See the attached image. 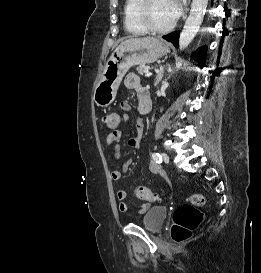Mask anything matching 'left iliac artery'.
Here are the masks:
<instances>
[{
  "mask_svg": "<svg viewBox=\"0 0 261 273\" xmlns=\"http://www.w3.org/2000/svg\"><path fill=\"white\" fill-rule=\"evenodd\" d=\"M152 159L156 162V163H162V157L159 153H152Z\"/></svg>",
  "mask_w": 261,
  "mask_h": 273,
  "instance_id": "left-iliac-artery-1",
  "label": "left iliac artery"
}]
</instances>
